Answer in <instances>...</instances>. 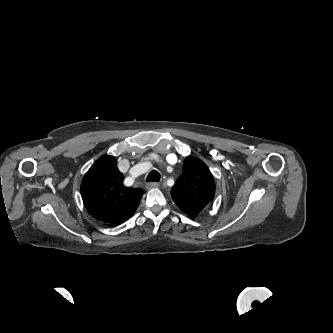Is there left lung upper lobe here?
Listing matches in <instances>:
<instances>
[{"mask_svg": "<svg viewBox=\"0 0 333 333\" xmlns=\"http://www.w3.org/2000/svg\"><path fill=\"white\" fill-rule=\"evenodd\" d=\"M215 183L206 164L194 156L183 163V173L171 189L176 205L188 216L195 217L213 200Z\"/></svg>", "mask_w": 333, "mask_h": 333, "instance_id": "left-lung-upper-lobe-1", "label": "left lung upper lobe"}]
</instances>
